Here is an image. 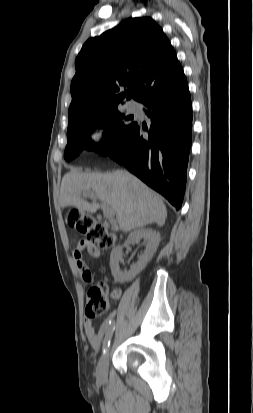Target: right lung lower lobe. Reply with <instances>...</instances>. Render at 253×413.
<instances>
[{"instance_id": "obj_1", "label": "right lung lower lobe", "mask_w": 253, "mask_h": 413, "mask_svg": "<svg viewBox=\"0 0 253 413\" xmlns=\"http://www.w3.org/2000/svg\"><path fill=\"white\" fill-rule=\"evenodd\" d=\"M151 119L139 123L107 155L166 197L178 210L183 201L191 147L192 103L188 86L179 94L144 103Z\"/></svg>"}]
</instances>
